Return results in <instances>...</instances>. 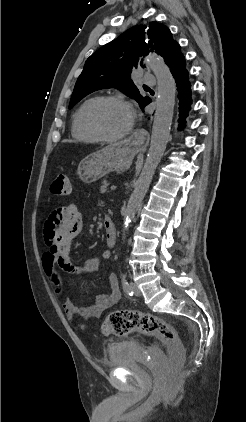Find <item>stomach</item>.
I'll return each mask as SVG.
<instances>
[{"mask_svg":"<svg viewBox=\"0 0 246 422\" xmlns=\"http://www.w3.org/2000/svg\"><path fill=\"white\" fill-rule=\"evenodd\" d=\"M134 154L135 150L128 143L107 145L80 162L78 176L86 184L93 183L110 172L128 169Z\"/></svg>","mask_w":246,"mask_h":422,"instance_id":"stomach-1","label":"stomach"}]
</instances>
